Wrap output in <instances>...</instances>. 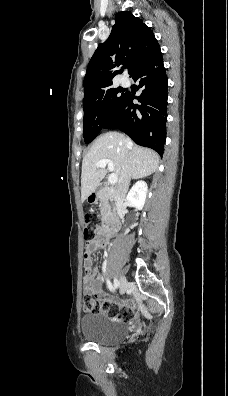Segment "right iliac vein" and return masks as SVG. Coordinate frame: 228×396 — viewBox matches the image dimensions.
Instances as JSON below:
<instances>
[{"label": "right iliac vein", "mask_w": 228, "mask_h": 396, "mask_svg": "<svg viewBox=\"0 0 228 396\" xmlns=\"http://www.w3.org/2000/svg\"><path fill=\"white\" fill-rule=\"evenodd\" d=\"M127 284H128V282H127L126 278L124 276H121L120 277V284H119L121 293H124V291L127 288Z\"/></svg>", "instance_id": "63e3f726"}]
</instances>
